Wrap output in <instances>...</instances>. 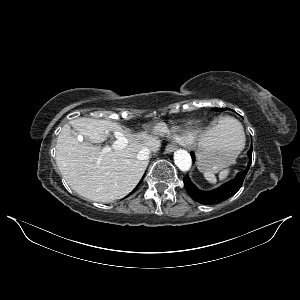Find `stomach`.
<instances>
[{
  "label": "stomach",
  "mask_w": 300,
  "mask_h": 300,
  "mask_svg": "<svg viewBox=\"0 0 300 300\" xmlns=\"http://www.w3.org/2000/svg\"><path fill=\"white\" fill-rule=\"evenodd\" d=\"M224 130V136L219 137L213 144L200 145L197 154L199 170L216 173L232 165L242 151L243 142L228 129L224 128Z\"/></svg>",
  "instance_id": "obj_1"
}]
</instances>
